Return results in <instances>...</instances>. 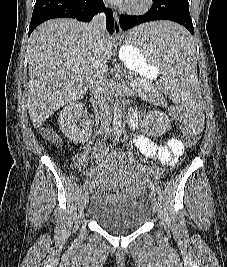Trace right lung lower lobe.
<instances>
[{"label":"right lung lower lobe","instance_id":"98d812e1","mask_svg":"<svg viewBox=\"0 0 227 267\" xmlns=\"http://www.w3.org/2000/svg\"><path fill=\"white\" fill-rule=\"evenodd\" d=\"M102 11L107 16V31L113 34V13L111 9L105 8L103 0H36L28 36L46 20L68 17L89 22L94 15Z\"/></svg>","mask_w":227,"mask_h":267}]
</instances>
